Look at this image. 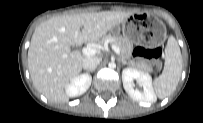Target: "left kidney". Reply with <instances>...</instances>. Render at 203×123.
<instances>
[{
  "label": "left kidney",
  "instance_id": "obj_1",
  "mask_svg": "<svg viewBox=\"0 0 203 123\" xmlns=\"http://www.w3.org/2000/svg\"><path fill=\"white\" fill-rule=\"evenodd\" d=\"M136 80L143 91L134 89L133 81ZM123 87L127 94L136 101L154 103L157 98L152 87V78L146 73L134 68H125L122 71Z\"/></svg>",
  "mask_w": 203,
  "mask_h": 123
}]
</instances>
